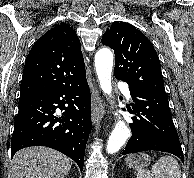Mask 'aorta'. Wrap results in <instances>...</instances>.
<instances>
[{
    "label": "aorta",
    "mask_w": 194,
    "mask_h": 178,
    "mask_svg": "<svg viewBox=\"0 0 194 178\" xmlns=\"http://www.w3.org/2000/svg\"><path fill=\"white\" fill-rule=\"evenodd\" d=\"M95 67L102 91L111 96V75L113 67V53L108 48L100 49L95 55ZM130 137L128 126L119 117L107 142V152L116 153Z\"/></svg>",
    "instance_id": "aorta-1"
}]
</instances>
